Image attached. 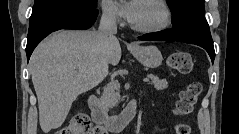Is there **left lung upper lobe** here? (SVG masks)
Instances as JSON below:
<instances>
[{"label": "left lung upper lobe", "instance_id": "left-lung-upper-lobe-1", "mask_svg": "<svg viewBox=\"0 0 239 134\" xmlns=\"http://www.w3.org/2000/svg\"><path fill=\"white\" fill-rule=\"evenodd\" d=\"M172 12L173 26L190 17H205L204 0H167Z\"/></svg>", "mask_w": 239, "mask_h": 134}]
</instances>
